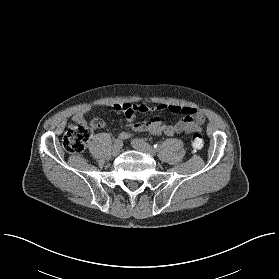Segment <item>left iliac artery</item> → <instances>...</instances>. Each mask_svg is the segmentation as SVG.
<instances>
[{"label":"left iliac artery","instance_id":"44dca946","mask_svg":"<svg viewBox=\"0 0 279 279\" xmlns=\"http://www.w3.org/2000/svg\"><path fill=\"white\" fill-rule=\"evenodd\" d=\"M153 147L158 152V151H160L162 149L163 146L161 144H154Z\"/></svg>","mask_w":279,"mask_h":279}]
</instances>
